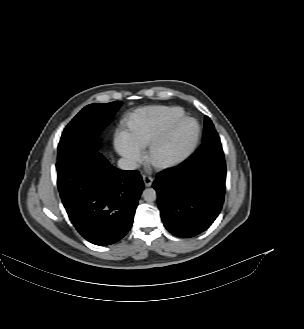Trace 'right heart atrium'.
<instances>
[{
    "instance_id": "d8ad5b80",
    "label": "right heart atrium",
    "mask_w": 304,
    "mask_h": 329,
    "mask_svg": "<svg viewBox=\"0 0 304 329\" xmlns=\"http://www.w3.org/2000/svg\"><path fill=\"white\" fill-rule=\"evenodd\" d=\"M115 144L117 151L122 156L130 159L134 163L142 161V149L135 143L129 132L123 129H118L115 134Z\"/></svg>"
}]
</instances>
